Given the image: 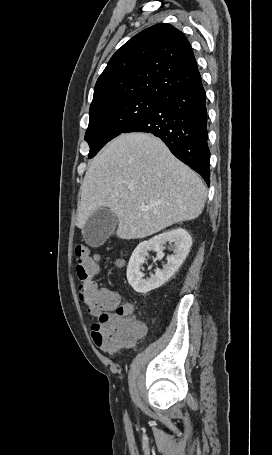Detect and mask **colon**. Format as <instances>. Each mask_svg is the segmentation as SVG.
I'll return each instance as SVG.
<instances>
[{"instance_id":"colon-1","label":"colon","mask_w":272,"mask_h":455,"mask_svg":"<svg viewBox=\"0 0 272 455\" xmlns=\"http://www.w3.org/2000/svg\"><path fill=\"white\" fill-rule=\"evenodd\" d=\"M75 254L78 296L89 312L97 316L91 328L94 344L103 351L113 352L130 339L143 335L145 327L131 315L132 307L121 304L115 292L95 282L98 257L82 245L77 246Z\"/></svg>"}]
</instances>
